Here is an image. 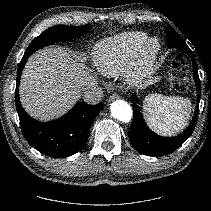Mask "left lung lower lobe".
I'll list each match as a JSON object with an SVG mask.
<instances>
[{
    "label": "left lung lower lobe",
    "instance_id": "0a47b994",
    "mask_svg": "<svg viewBox=\"0 0 211 211\" xmlns=\"http://www.w3.org/2000/svg\"><path fill=\"white\" fill-rule=\"evenodd\" d=\"M168 47H176L177 49L188 54L193 63V77L197 86V105L193 119L188 128L176 137H162L151 131L142 116L141 110L137 105V96L133 94L131 101L133 102V121L129 130V140L131 145L141 154L148 156H163L175 151L181 144L186 141L192 134L199 113L200 101V79L198 76V67L192 50L187 46L183 39H172L167 42Z\"/></svg>",
    "mask_w": 211,
    "mask_h": 211
}]
</instances>
